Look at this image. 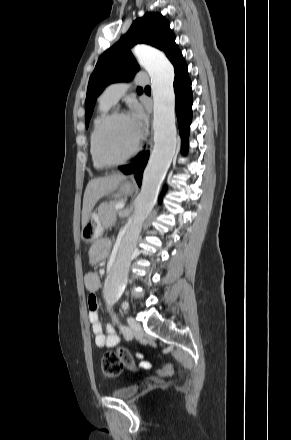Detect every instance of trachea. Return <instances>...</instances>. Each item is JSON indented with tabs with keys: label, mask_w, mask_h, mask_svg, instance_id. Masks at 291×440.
<instances>
[{
	"label": "trachea",
	"mask_w": 291,
	"mask_h": 440,
	"mask_svg": "<svg viewBox=\"0 0 291 440\" xmlns=\"http://www.w3.org/2000/svg\"><path fill=\"white\" fill-rule=\"evenodd\" d=\"M146 88L150 89V87H149V86H147Z\"/></svg>",
	"instance_id": "3493384b"
}]
</instances>
